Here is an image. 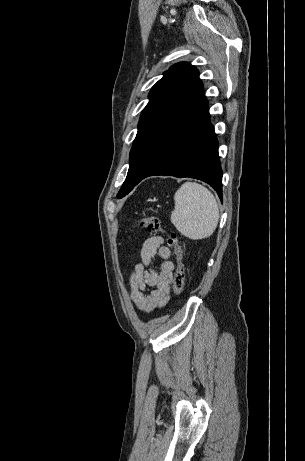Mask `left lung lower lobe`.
Instances as JSON below:
<instances>
[{"label":"left lung lower lobe","instance_id":"left-lung-lower-lobe-1","mask_svg":"<svg viewBox=\"0 0 305 461\" xmlns=\"http://www.w3.org/2000/svg\"><path fill=\"white\" fill-rule=\"evenodd\" d=\"M152 175L202 180L209 183L222 200L218 142L201 82L155 134L150 165L135 185Z\"/></svg>","mask_w":305,"mask_h":461}]
</instances>
